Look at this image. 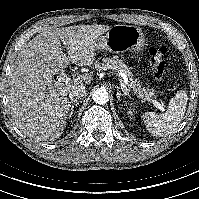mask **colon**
<instances>
[{"mask_svg": "<svg viewBox=\"0 0 199 199\" xmlns=\"http://www.w3.org/2000/svg\"><path fill=\"white\" fill-rule=\"evenodd\" d=\"M167 48L150 47L148 50V59L153 75L158 80H164L166 77L167 66L163 60V56L166 54Z\"/></svg>", "mask_w": 199, "mask_h": 199, "instance_id": "colon-1", "label": "colon"}]
</instances>
